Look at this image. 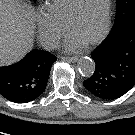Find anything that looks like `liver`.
I'll return each instance as SVG.
<instances>
[{"label":"liver","mask_w":135,"mask_h":135,"mask_svg":"<svg viewBox=\"0 0 135 135\" xmlns=\"http://www.w3.org/2000/svg\"><path fill=\"white\" fill-rule=\"evenodd\" d=\"M34 13L18 0H0V66L21 59L33 46Z\"/></svg>","instance_id":"6515ba94"}]
</instances>
